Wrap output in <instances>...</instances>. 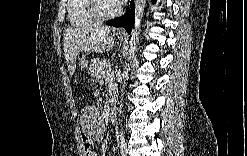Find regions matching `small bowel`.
Masks as SVG:
<instances>
[{
    "label": "small bowel",
    "instance_id": "small-bowel-1",
    "mask_svg": "<svg viewBox=\"0 0 247 156\" xmlns=\"http://www.w3.org/2000/svg\"><path fill=\"white\" fill-rule=\"evenodd\" d=\"M88 140H86L85 142L87 143ZM85 153L87 156H94L96 155L94 151H92L91 149H89L87 146L85 148Z\"/></svg>",
    "mask_w": 247,
    "mask_h": 156
}]
</instances>
